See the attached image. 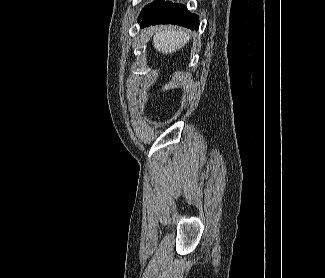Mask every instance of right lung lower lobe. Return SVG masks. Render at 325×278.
<instances>
[{
	"mask_svg": "<svg viewBox=\"0 0 325 278\" xmlns=\"http://www.w3.org/2000/svg\"><path fill=\"white\" fill-rule=\"evenodd\" d=\"M142 25L155 24H176L187 27L191 30L199 28V19L196 14H191L186 6L181 4H173L168 1L158 0L147 5L139 16Z\"/></svg>",
	"mask_w": 325,
	"mask_h": 278,
	"instance_id": "98d812e1",
	"label": "right lung lower lobe"
}]
</instances>
